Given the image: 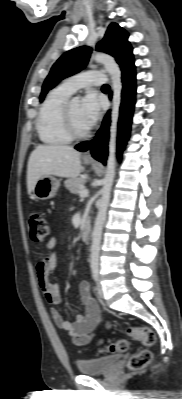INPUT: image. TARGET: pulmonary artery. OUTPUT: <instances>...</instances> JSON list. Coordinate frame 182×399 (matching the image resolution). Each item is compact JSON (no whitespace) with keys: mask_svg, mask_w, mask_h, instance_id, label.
Segmentation results:
<instances>
[{"mask_svg":"<svg viewBox=\"0 0 182 399\" xmlns=\"http://www.w3.org/2000/svg\"><path fill=\"white\" fill-rule=\"evenodd\" d=\"M104 82V72L99 70H89L67 78L62 82L60 87L72 94L81 88L90 85H100Z\"/></svg>","mask_w":182,"mask_h":399,"instance_id":"e3ab8cb5","label":"pulmonary artery"}]
</instances>
